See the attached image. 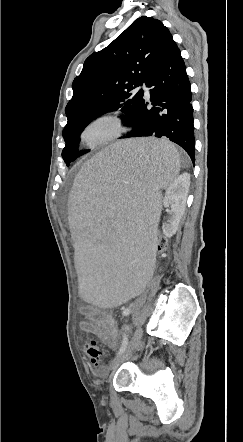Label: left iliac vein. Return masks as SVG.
I'll list each match as a JSON object with an SVG mask.
<instances>
[{"mask_svg":"<svg viewBox=\"0 0 243 442\" xmlns=\"http://www.w3.org/2000/svg\"><path fill=\"white\" fill-rule=\"evenodd\" d=\"M142 334L143 329L141 327L135 331L125 350L111 361L109 365V369L111 371L116 370L120 364L133 353L135 349H139L141 347Z\"/></svg>","mask_w":243,"mask_h":442,"instance_id":"left-iliac-vein-1","label":"left iliac vein"}]
</instances>
